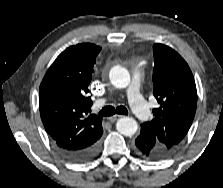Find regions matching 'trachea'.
Returning <instances> with one entry per match:
<instances>
[{
    "instance_id": "trachea-1",
    "label": "trachea",
    "mask_w": 223,
    "mask_h": 188,
    "mask_svg": "<svg viewBox=\"0 0 223 188\" xmlns=\"http://www.w3.org/2000/svg\"><path fill=\"white\" fill-rule=\"evenodd\" d=\"M115 113L120 114V115H127L128 114V110L124 106H122V105L117 106L116 108H114L113 106H105L99 112V114L101 116H112Z\"/></svg>"
}]
</instances>
